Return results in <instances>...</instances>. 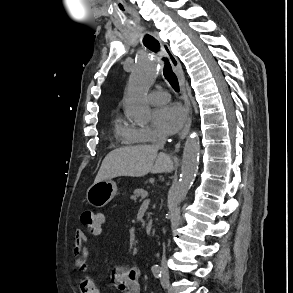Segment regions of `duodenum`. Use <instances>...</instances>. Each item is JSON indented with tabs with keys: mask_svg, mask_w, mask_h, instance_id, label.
<instances>
[{
	"mask_svg": "<svg viewBox=\"0 0 293 293\" xmlns=\"http://www.w3.org/2000/svg\"><path fill=\"white\" fill-rule=\"evenodd\" d=\"M152 231H153V225H152V222H148V223L146 224V232H147L148 234H151Z\"/></svg>",
	"mask_w": 293,
	"mask_h": 293,
	"instance_id": "duodenum-1",
	"label": "duodenum"
}]
</instances>
